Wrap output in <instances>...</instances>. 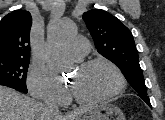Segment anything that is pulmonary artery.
I'll list each match as a JSON object with an SVG mask.
<instances>
[{
    "instance_id": "pulmonary-artery-1",
    "label": "pulmonary artery",
    "mask_w": 165,
    "mask_h": 120,
    "mask_svg": "<svg viewBox=\"0 0 165 120\" xmlns=\"http://www.w3.org/2000/svg\"><path fill=\"white\" fill-rule=\"evenodd\" d=\"M88 50V43L81 38L70 41L62 48L63 53L71 57H82L86 55Z\"/></svg>"
}]
</instances>
